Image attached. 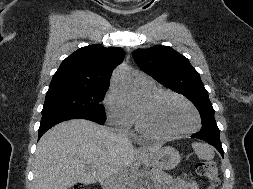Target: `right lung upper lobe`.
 I'll use <instances>...</instances> for the list:
<instances>
[{
  "label": "right lung upper lobe",
  "instance_id": "1",
  "mask_svg": "<svg viewBox=\"0 0 253 189\" xmlns=\"http://www.w3.org/2000/svg\"><path fill=\"white\" fill-rule=\"evenodd\" d=\"M124 56V50L118 47H82L63 60L53 75L49 89L63 86L109 87L111 72Z\"/></svg>",
  "mask_w": 253,
  "mask_h": 189
}]
</instances>
